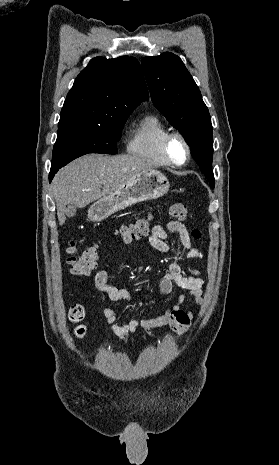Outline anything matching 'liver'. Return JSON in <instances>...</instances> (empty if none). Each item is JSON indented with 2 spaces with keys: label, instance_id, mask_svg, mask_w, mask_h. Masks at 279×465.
Wrapping results in <instances>:
<instances>
[{
  "label": "liver",
  "instance_id": "6515ba94",
  "mask_svg": "<svg viewBox=\"0 0 279 465\" xmlns=\"http://www.w3.org/2000/svg\"><path fill=\"white\" fill-rule=\"evenodd\" d=\"M152 168L148 159L137 155L88 154L69 163L58 171L51 184L59 224L65 223L68 206H74L75 211L84 208Z\"/></svg>",
  "mask_w": 279,
  "mask_h": 465
}]
</instances>
